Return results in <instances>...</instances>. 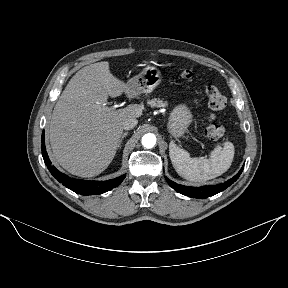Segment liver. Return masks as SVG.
Returning <instances> with one entry per match:
<instances>
[{"instance_id":"liver-1","label":"liver","mask_w":288,"mask_h":288,"mask_svg":"<svg viewBox=\"0 0 288 288\" xmlns=\"http://www.w3.org/2000/svg\"><path fill=\"white\" fill-rule=\"evenodd\" d=\"M130 94L106 61L80 69L56 103L48 137L56 161L71 174L93 177L113 160L128 118L142 115L140 105L105 111L108 96Z\"/></svg>"}]
</instances>
